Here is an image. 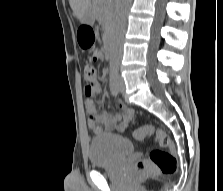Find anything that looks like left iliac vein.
<instances>
[{
  "label": "left iliac vein",
  "instance_id": "obj_1",
  "mask_svg": "<svg viewBox=\"0 0 223 191\" xmlns=\"http://www.w3.org/2000/svg\"><path fill=\"white\" fill-rule=\"evenodd\" d=\"M118 87L120 92L124 91L125 89L124 79L120 75L118 76Z\"/></svg>",
  "mask_w": 223,
  "mask_h": 191
}]
</instances>
